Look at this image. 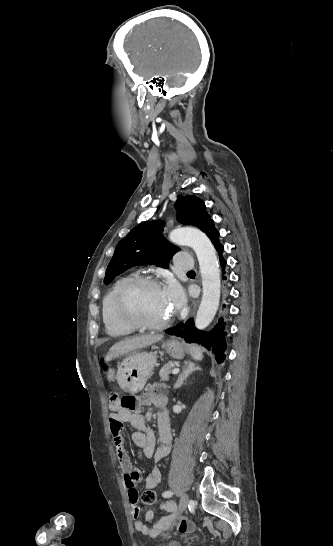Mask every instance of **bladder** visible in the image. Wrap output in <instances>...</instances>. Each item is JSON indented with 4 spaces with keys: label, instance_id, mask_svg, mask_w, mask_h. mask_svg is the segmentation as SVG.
<instances>
[{
    "label": "bladder",
    "instance_id": "1",
    "mask_svg": "<svg viewBox=\"0 0 333 546\" xmlns=\"http://www.w3.org/2000/svg\"><path fill=\"white\" fill-rule=\"evenodd\" d=\"M164 546H181L178 541H171Z\"/></svg>",
    "mask_w": 333,
    "mask_h": 546
}]
</instances>
